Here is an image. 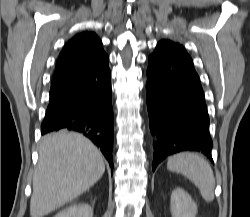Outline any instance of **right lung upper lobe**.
<instances>
[{
  "instance_id": "right-lung-upper-lobe-1",
  "label": "right lung upper lobe",
  "mask_w": 250,
  "mask_h": 217,
  "mask_svg": "<svg viewBox=\"0 0 250 217\" xmlns=\"http://www.w3.org/2000/svg\"><path fill=\"white\" fill-rule=\"evenodd\" d=\"M106 56L95 33L84 32L76 35L65 45L58 57L51 86L87 72Z\"/></svg>"
}]
</instances>
